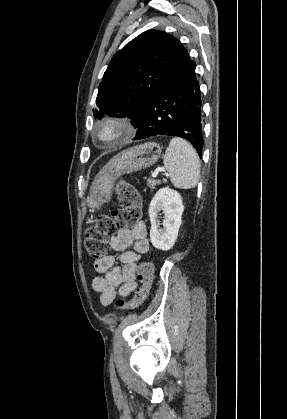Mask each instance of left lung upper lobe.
Listing matches in <instances>:
<instances>
[{"label": "left lung upper lobe", "mask_w": 287, "mask_h": 419, "mask_svg": "<svg viewBox=\"0 0 287 419\" xmlns=\"http://www.w3.org/2000/svg\"><path fill=\"white\" fill-rule=\"evenodd\" d=\"M193 63L173 36L157 30L140 34L110 61L99 85V109L94 116L129 117L137 127L151 97Z\"/></svg>", "instance_id": "1"}]
</instances>
